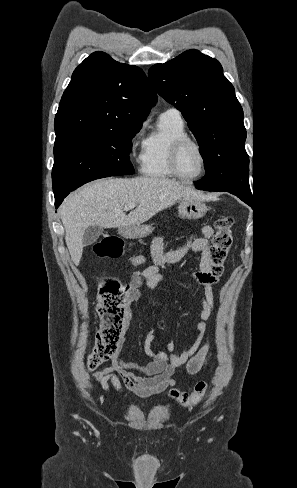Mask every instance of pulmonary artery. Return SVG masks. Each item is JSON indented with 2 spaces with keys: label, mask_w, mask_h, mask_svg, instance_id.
Returning <instances> with one entry per match:
<instances>
[{
  "label": "pulmonary artery",
  "mask_w": 297,
  "mask_h": 488,
  "mask_svg": "<svg viewBox=\"0 0 297 488\" xmlns=\"http://www.w3.org/2000/svg\"><path fill=\"white\" fill-rule=\"evenodd\" d=\"M163 114L180 116L179 111L175 108H170V109L166 110Z\"/></svg>",
  "instance_id": "obj_1"
}]
</instances>
